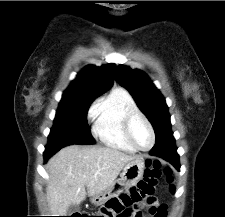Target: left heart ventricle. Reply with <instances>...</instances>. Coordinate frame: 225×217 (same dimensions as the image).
Returning <instances> with one entry per match:
<instances>
[{"label":"left heart ventricle","mask_w":225,"mask_h":217,"mask_svg":"<svg viewBox=\"0 0 225 217\" xmlns=\"http://www.w3.org/2000/svg\"><path fill=\"white\" fill-rule=\"evenodd\" d=\"M132 133L135 142L142 148H147L151 145L152 136L149 128L141 119H136L132 125Z\"/></svg>","instance_id":"b2bd125f"}]
</instances>
